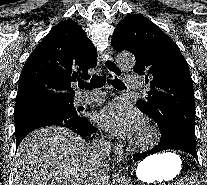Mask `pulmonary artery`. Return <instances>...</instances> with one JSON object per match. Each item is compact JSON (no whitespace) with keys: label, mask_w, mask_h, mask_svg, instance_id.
Masks as SVG:
<instances>
[{"label":"pulmonary artery","mask_w":207,"mask_h":185,"mask_svg":"<svg viewBox=\"0 0 207 185\" xmlns=\"http://www.w3.org/2000/svg\"><path fill=\"white\" fill-rule=\"evenodd\" d=\"M141 77H125V82H127V90L128 91H139L141 86ZM104 97L103 92H92L83 96V102L85 104H90L93 102H98Z\"/></svg>","instance_id":"obj_1"}]
</instances>
